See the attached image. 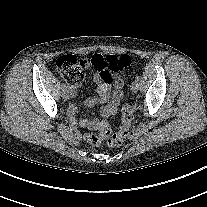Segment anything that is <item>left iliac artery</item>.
Masks as SVG:
<instances>
[{"instance_id": "left-iliac-artery-1", "label": "left iliac artery", "mask_w": 207, "mask_h": 207, "mask_svg": "<svg viewBox=\"0 0 207 207\" xmlns=\"http://www.w3.org/2000/svg\"><path fill=\"white\" fill-rule=\"evenodd\" d=\"M140 78H141V76H140V75H137V76L135 77V81H139Z\"/></svg>"}]
</instances>
